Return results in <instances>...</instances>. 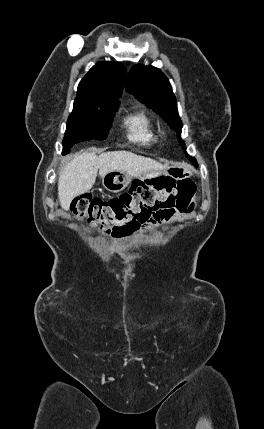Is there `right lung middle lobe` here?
Returning <instances> with one entry per match:
<instances>
[{"instance_id": "obj_1", "label": "right lung middle lobe", "mask_w": 264, "mask_h": 429, "mask_svg": "<svg viewBox=\"0 0 264 429\" xmlns=\"http://www.w3.org/2000/svg\"><path fill=\"white\" fill-rule=\"evenodd\" d=\"M119 103L75 101L67 121L63 140V154L78 142L91 139L104 140Z\"/></svg>"}]
</instances>
